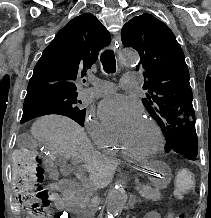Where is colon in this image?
<instances>
[{
  "label": "colon",
  "instance_id": "5ec220e1",
  "mask_svg": "<svg viewBox=\"0 0 211 218\" xmlns=\"http://www.w3.org/2000/svg\"><path fill=\"white\" fill-rule=\"evenodd\" d=\"M12 174L14 190L29 218H52L53 210L47 190L41 186L44 180L42 160L29 147L18 149L13 155ZM194 173L181 169L176 174V193L179 197L193 191ZM176 218H185L178 215Z\"/></svg>",
  "mask_w": 211,
  "mask_h": 218
}]
</instances>
